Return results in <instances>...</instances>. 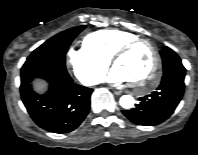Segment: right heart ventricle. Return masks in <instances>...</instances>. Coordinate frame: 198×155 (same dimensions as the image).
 <instances>
[{
    "label": "right heart ventricle",
    "instance_id": "e07e8e85",
    "mask_svg": "<svg viewBox=\"0 0 198 155\" xmlns=\"http://www.w3.org/2000/svg\"><path fill=\"white\" fill-rule=\"evenodd\" d=\"M136 37V34L121 29H102L88 34L84 39V45L110 60L122 44Z\"/></svg>",
    "mask_w": 198,
    "mask_h": 155
}]
</instances>
